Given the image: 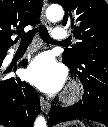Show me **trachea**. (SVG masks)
<instances>
[{
  "instance_id": "trachea-1",
  "label": "trachea",
  "mask_w": 108,
  "mask_h": 127,
  "mask_svg": "<svg viewBox=\"0 0 108 127\" xmlns=\"http://www.w3.org/2000/svg\"><path fill=\"white\" fill-rule=\"evenodd\" d=\"M39 32V35L41 37V39L45 42V43H48V44H54V43H59V44H65L66 41H62V42H57V41H54L49 33H48V30L47 28L44 26V25H40L39 27L35 28V29H32L30 30L29 32L21 35V42H20V45H29L33 39V37L35 36V34Z\"/></svg>"
}]
</instances>
